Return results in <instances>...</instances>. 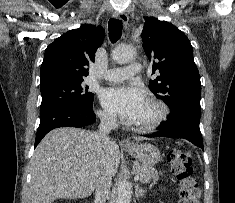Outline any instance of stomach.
Returning <instances> with one entry per match:
<instances>
[{
  "instance_id": "obj_1",
  "label": "stomach",
  "mask_w": 235,
  "mask_h": 203,
  "mask_svg": "<svg viewBox=\"0 0 235 203\" xmlns=\"http://www.w3.org/2000/svg\"><path fill=\"white\" fill-rule=\"evenodd\" d=\"M124 150L137 158L141 165L153 166L161 160L158 148L150 143L134 144L132 147H124Z\"/></svg>"
}]
</instances>
